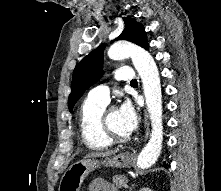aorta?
<instances>
[{
  "label": "aorta",
  "mask_w": 221,
  "mask_h": 191,
  "mask_svg": "<svg viewBox=\"0 0 221 191\" xmlns=\"http://www.w3.org/2000/svg\"><path fill=\"white\" fill-rule=\"evenodd\" d=\"M108 56L112 60L130 57L141 77L152 131L148 143L138 156L137 165L141 169L149 168L158 159L163 141L162 93L157 65L145 49L124 41L112 44Z\"/></svg>",
  "instance_id": "1"
}]
</instances>
